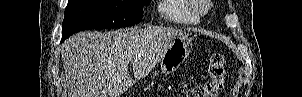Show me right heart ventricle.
<instances>
[{"label":"right heart ventricle","mask_w":302,"mask_h":97,"mask_svg":"<svg viewBox=\"0 0 302 97\" xmlns=\"http://www.w3.org/2000/svg\"><path fill=\"white\" fill-rule=\"evenodd\" d=\"M159 13L168 22L178 25H195L200 19L187 0H162Z\"/></svg>","instance_id":"right-heart-ventricle-1"}]
</instances>
